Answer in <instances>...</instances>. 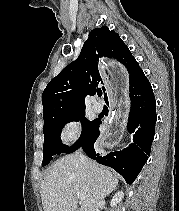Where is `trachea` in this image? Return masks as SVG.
I'll list each match as a JSON object with an SVG mask.
<instances>
[{
  "mask_svg": "<svg viewBox=\"0 0 179 211\" xmlns=\"http://www.w3.org/2000/svg\"><path fill=\"white\" fill-rule=\"evenodd\" d=\"M98 96L101 97L102 96V91L97 92Z\"/></svg>",
  "mask_w": 179,
  "mask_h": 211,
  "instance_id": "3493384b",
  "label": "trachea"
}]
</instances>
